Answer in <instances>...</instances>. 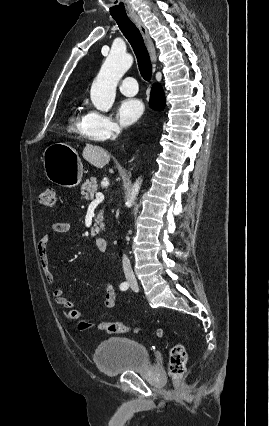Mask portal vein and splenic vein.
Masks as SVG:
<instances>
[{"instance_id":"obj_1","label":"portal vein and splenic vein","mask_w":269,"mask_h":426,"mask_svg":"<svg viewBox=\"0 0 269 426\" xmlns=\"http://www.w3.org/2000/svg\"><path fill=\"white\" fill-rule=\"evenodd\" d=\"M104 200V195L100 192L96 193V198L91 202V204H98Z\"/></svg>"}]
</instances>
